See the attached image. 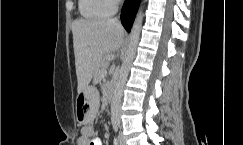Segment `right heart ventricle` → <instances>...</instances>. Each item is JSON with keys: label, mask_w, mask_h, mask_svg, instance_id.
<instances>
[{"label": "right heart ventricle", "mask_w": 243, "mask_h": 145, "mask_svg": "<svg viewBox=\"0 0 243 145\" xmlns=\"http://www.w3.org/2000/svg\"><path fill=\"white\" fill-rule=\"evenodd\" d=\"M79 10L87 19H99L110 16L113 7L107 0H79Z\"/></svg>", "instance_id": "right-heart-ventricle-1"}]
</instances>
